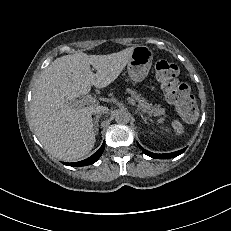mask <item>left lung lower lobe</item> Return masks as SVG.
Segmentation results:
<instances>
[{
    "instance_id": "0a47b994",
    "label": "left lung lower lobe",
    "mask_w": 231,
    "mask_h": 231,
    "mask_svg": "<svg viewBox=\"0 0 231 231\" xmlns=\"http://www.w3.org/2000/svg\"><path fill=\"white\" fill-rule=\"evenodd\" d=\"M139 145V144H138ZM139 147L142 149V151L146 154V155H148V156H150V157H152V158H157V159H169V158H173V157H176V156H178V155H180V154H182L184 151H185V149H182V150H180V151H177V152H173V153H168V154H155V153H152V152H149V151H147V150H145L143 147H141L140 145H139Z\"/></svg>"
}]
</instances>
